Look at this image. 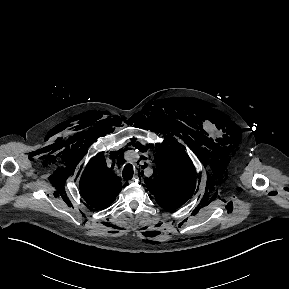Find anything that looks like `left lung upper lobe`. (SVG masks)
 I'll return each mask as SVG.
<instances>
[{
	"label": "left lung upper lobe",
	"instance_id": "5c2ea615",
	"mask_svg": "<svg viewBox=\"0 0 289 289\" xmlns=\"http://www.w3.org/2000/svg\"><path fill=\"white\" fill-rule=\"evenodd\" d=\"M162 144L156 152L153 175L145 179L150 193L166 210L181 207L194 193L196 171L190 158L174 142Z\"/></svg>",
	"mask_w": 289,
	"mask_h": 289
}]
</instances>
